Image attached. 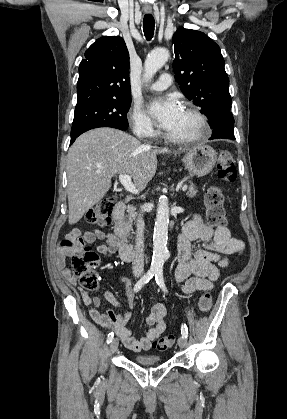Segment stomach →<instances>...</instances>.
Masks as SVG:
<instances>
[{
    "mask_svg": "<svg viewBox=\"0 0 287 419\" xmlns=\"http://www.w3.org/2000/svg\"><path fill=\"white\" fill-rule=\"evenodd\" d=\"M217 161L216 151L208 145H198L188 151L182 158V162L188 171L198 177L209 174Z\"/></svg>",
    "mask_w": 287,
    "mask_h": 419,
    "instance_id": "0dacf381",
    "label": "stomach"
}]
</instances>
